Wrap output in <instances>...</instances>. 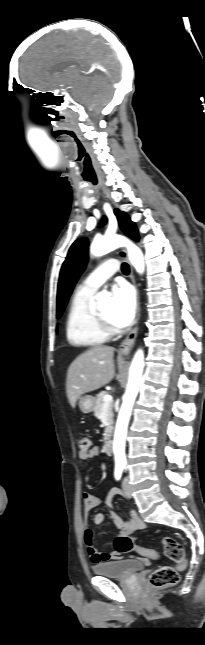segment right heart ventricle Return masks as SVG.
Masks as SVG:
<instances>
[{"label":"right heart ventricle","instance_id":"e07e8e85","mask_svg":"<svg viewBox=\"0 0 205 645\" xmlns=\"http://www.w3.org/2000/svg\"><path fill=\"white\" fill-rule=\"evenodd\" d=\"M93 294L79 289L74 293L66 320V337L74 346L95 347L108 339L100 328L92 306Z\"/></svg>","mask_w":205,"mask_h":645}]
</instances>
